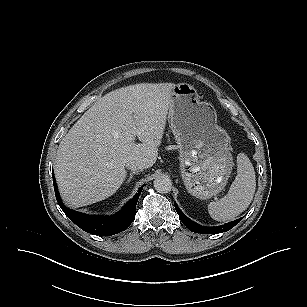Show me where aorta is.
Masks as SVG:
<instances>
[{"instance_id":"1","label":"aorta","mask_w":307,"mask_h":307,"mask_svg":"<svg viewBox=\"0 0 307 307\" xmlns=\"http://www.w3.org/2000/svg\"><path fill=\"white\" fill-rule=\"evenodd\" d=\"M154 188L159 193H168L172 188L171 179L167 175H159L154 180Z\"/></svg>"}]
</instances>
